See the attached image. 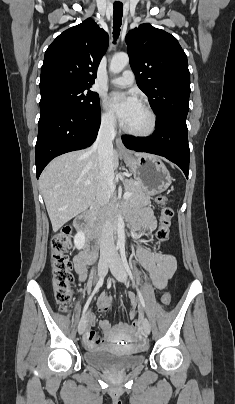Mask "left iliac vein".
I'll return each mask as SVG.
<instances>
[{
	"label": "left iliac vein",
	"instance_id": "1",
	"mask_svg": "<svg viewBox=\"0 0 235 404\" xmlns=\"http://www.w3.org/2000/svg\"><path fill=\"white\" fill-rule=\"evenodd\" d=\"M110 270L114 277L119 281L125 283L127 281V273L122 264L121 258L118 253H114L109 263ZM143 330L146 334H150L151 326L147 318L142 319Z\"/></svg>",
	"mask_w": 235,
	"mask_h": 404
}]
</instances>
